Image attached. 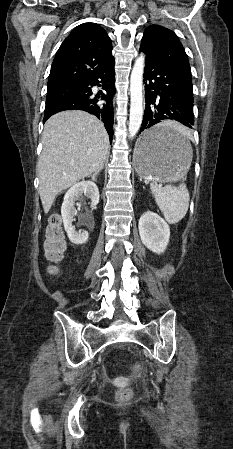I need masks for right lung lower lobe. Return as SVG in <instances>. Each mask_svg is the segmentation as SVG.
Instances as JSON below:
<instances>
[{"mask_svg": "<svg viewBox=\"0 0 233 449\" xmlns=\"http://www.w3.org/2000/svg\"><path fill=\"white\" fill-rule=\"evenodd\" d=\"M114 62L109 65L104 71L98 75L90 78L83 84L79 85L82 89V94L77 98L60 102L54 106L46 107L43 122L50 116L60 111L65 110H83L97 116L105 125L109 134L110 141L113 138V94L115 92L114 86ZM103 86L104 93L94 94L92 92L93 86Z\"/></svg>", "mask_w": 233, "mask_h": 449, "instance_id": "1", "label": "right lung lower lobe"}]
</instances>
